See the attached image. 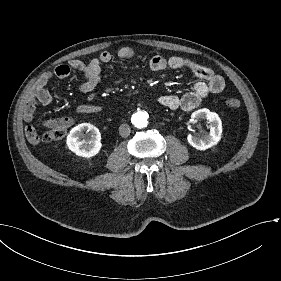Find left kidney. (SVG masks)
Segmentation results:
<instances>
[{
	"label": "left kidney",
	"instance_id": "1",
	"mask_svg": "<svg viewBox=\"0 0 281 281\" xmlns=\"http://www.w3.org/2000/svg\"><path fill=\"white\" fill-rule=\"evenodd\" d=\"M192 119H206L210 124V132L203 138H197L189 134L187 140L191 146L198 150H205L216 145L222 135V122L218 114L203 108L196 110L191 115Z\"/></svg>",
	"mask_w": 281,
	"mask_h": 281
}]
</instances>
